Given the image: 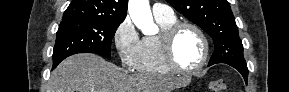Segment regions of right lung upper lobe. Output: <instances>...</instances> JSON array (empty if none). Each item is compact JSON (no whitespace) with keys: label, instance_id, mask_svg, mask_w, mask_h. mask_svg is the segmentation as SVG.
Returning <instances> with one entry per match:
<instances>
[{"label":"right lung upper lobe","instance_id":"obj_1","mask_svg":"<svg viewBox=\"0 0 289 92\" xmlns=\"http://www.w3.org/2000/svg\"><path fill=\"white\" fill-rule=\"evenodd\" d=\"M128 0H72L62 20H103L123 22Z\"/></svg>","mask_w":289,"mask_h":92}]
</instances>
